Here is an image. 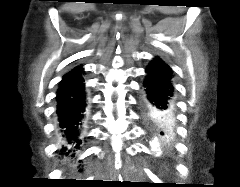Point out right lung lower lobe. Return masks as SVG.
Segmentation results:
<instances>
[{"label":"right lung lower lobe","mask_w":240,"mask_h":187,"mask_svg":"<svg viewBox=\"0 0 240 187\" xmlns=\"http://www.w3.org/2000/svg\"><path fill=\"white\" fill-rule=\"evenodd\" d=\"M82 71V66H77L65 74L57 90L56 114L64 137L60 149L62 156L74 157L83 142L80 134L85 123L86 101Z\"/></svg>","instance_id":"right-lung-lower-lobe-1"}]
</instances>
